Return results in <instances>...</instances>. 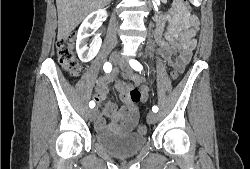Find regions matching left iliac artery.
I'll list each match as a JSON object with an SVG mask.
<instances>
[{"label": "left iliac artery", "mask_w": 250, "mask_h": 169, "mask_svg": "<svg viewBox=\"0 0 250 169\" xmlns=\"http://www.w3.org/2000/svg\"><path fill=\"white\" fill-rule=\"evenodd\" d=\"M129 64L136 71H141L143 69V66L137 60L131 59ZM152 111L156 113L158 111V107L153 106Z\"/></svg>", "instance_id": "left-iliac-artery-1"}]
</instances>
